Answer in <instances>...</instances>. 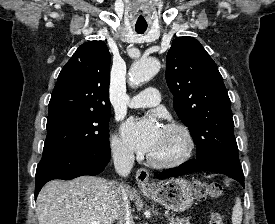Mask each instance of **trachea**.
Here are the masks:
<instances>
[{
	"instance_id": "obj_1",
	"label": "trachea",
	"mask_w": 275,
	"mask_h": 224,
	"mask_svg": "<svg viewBox=\"0 0 275 224\" xmlns=\"http://www.w3.org/2000/svg\"><path fill=\"white\" fill-rule=\"evenodd\" d=\"M146 29H147L146 25H136L135 26V30L139 34H143L146 31Z\"/></svg>"
}]
</instances>
